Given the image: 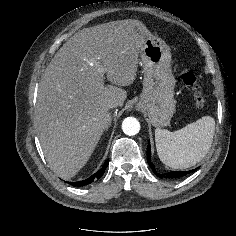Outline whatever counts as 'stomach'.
<instances>
[{"instance_id": "obj_1", "label": "stomach", "mask_w": 236, "mask_h": 236, "mask_svg": "<svg viewBox=\"0 0 236 236\" xmlns=\"http://www.w3.org/2000/svg\"><path fill=\"white\" fill-rule=\"evenodd\" d=\"M140 57L144 79L137 108L147 113L153 126L165 127L176 107L170 49L162 39L148 37L140 50Z\"/></svg>"}]
</instances>
